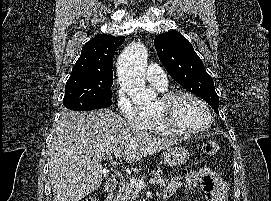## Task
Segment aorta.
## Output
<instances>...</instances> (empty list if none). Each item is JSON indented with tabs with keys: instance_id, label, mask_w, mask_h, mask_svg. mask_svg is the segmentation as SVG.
I'll use <instances>...</instances> for the list:
<instances>
[{
	"instance_id": "1",
	"label": "aorta",
	"mask_w": 271,
	"mask_h": 201,
	"mask_svg": "<svg viewBox=\"0 0 271 201\" xmlns=\"http://www.w3.org/2000/svg\"><path fill=\"white\" fill-rule=\"evenodd\" d=\"M147 50L141 43L128 45L117 61V72L123 90L140 107L151 106L156 94L145 86Z\"/></svg>"
}]
</instances>
